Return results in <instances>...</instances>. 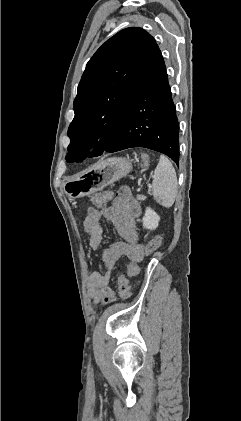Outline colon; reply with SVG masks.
<instances>
[{
  "label": "colon",
  "mask_w": 241,
  "mask_h": 421,
  "mask_svg": "<svg viewBox=\"0 0 241 421\" xmlns=\"http://www.w3.org/2000/svg\"><path fill=\"white\" fill-rule=\"evenodd\" d=\"M113 198V193L111 191H104L101 193L94 194L91 198V202L94 206L102 207L106 205ZM162 243V238L160 235L152 238L146 248L145 255L153 254ZM127 273L130 276H136L139 274V264L135 260H130L127 265ZM117 288L119 294L122 298H128L131 295V288L128 282V279L125 275H119L117 278Z\"/></svg>",
  "instance_id": "1"
}]
</instances>
